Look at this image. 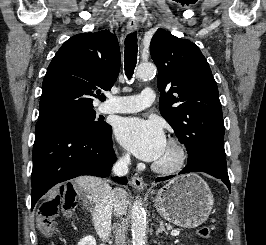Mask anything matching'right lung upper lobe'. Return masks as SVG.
<instances>
[{"label": "right lung upper lobe", "instance_id": "cb5924a9", "mask_svg": "<svg viewBox=\"0 0 266 245\" xmlns=\"http://www.w3.org/2000/svg\"><path fill=\"white\" fill-rule=\"evenodd\" d=\"M120 70L117 37L109 30L71 37L52 59L42 84L38 121L93 109L99 88L110 90ZM101 100L105 99L100 95Z\"/></svg>", "mask_w": 266, "mask_h": 245}]
</instances>
